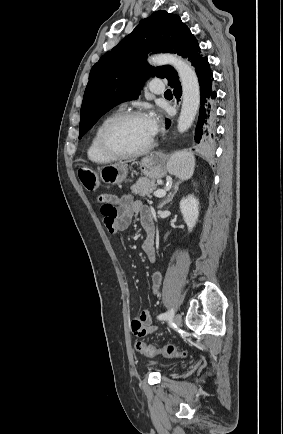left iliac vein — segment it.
Returning <instances> with one entry per match:
<instances>
[{
    "label": "left iliac vein",
    "instance_id": "1",
    "mask_svg": "<svg viewBox=\"0 0 283 434\" xmlns=\"http://www.w3.org/2000/svg\"><path fill=\"white\" fill-rule=\"evenodd\" d=\"M182 323V316L180 314H176L174 317V324L179 327Z\"/></svg>",
    "mask_w": 283,
    "mask_h": 434
}]
</instances>
